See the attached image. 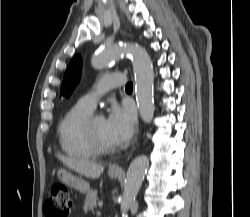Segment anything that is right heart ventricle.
<instances>
[{
	"label": "right heart ventricle",
	"mask_w": 250,
	"mask_h": 217,
	"mask_svg": "<svg viewBox=\"0 0 250 217\" xmlns=\"http://www.w3.org/2000/svg\"><path fill=\"white\" fill-rule=\"evenodd\" d=\"M92 108L78 101L66 111L59 122L57 135L62 151L70 157L88 159L96 152L83 133V122L92 113Z\"/></svg>",
	"instance_id": "obj_1"
}]
</instances>
